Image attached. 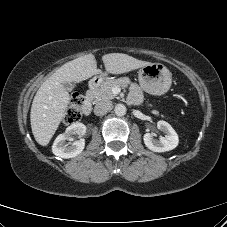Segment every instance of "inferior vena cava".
Returning a JSON list of instances; mask_svg holds the SVG:
<instances>
[{
    "mask_svg": "<svg viewBox=\"0 0 227 227\" xmlns=\"http://www.w3.org/2000/svg\"><path fill=\"white\" fill-rule=\"evenodd\" d=\"M111 109H112V102L109 100H103V101L98 102L95 105L94 113L97 116H102Z\"/></svg>",
    "mask_w": 227,
    "mask_h": 227,
    "instance_id": "602c4592",
    "label": "inferior vena cava"
}]
</instances>
